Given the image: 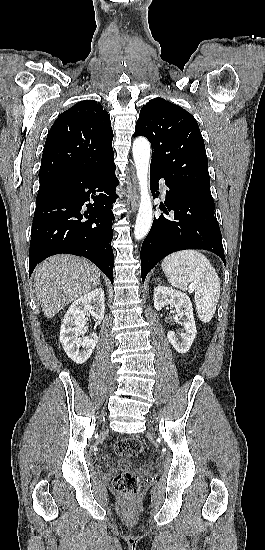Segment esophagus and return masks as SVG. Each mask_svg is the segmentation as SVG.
Instances as JSON below:
<instances>
[{"label":"esophagus","instance_id":"obj_1","mask_svg":"<svg viewBox=\"0 0 265 550\" xmlns=\"http://www.w3.org/2000/svg\"><path fill=\"white\" fill-rule=\"evenodd\" d=\"M132 182H133V190H132V193L130 195V203H131L132 209L136 210L137 207H138L139 196H138V193H137L136 177H135L134 172L132 173Z\"/></svg>","mask_w":265,"mask_h":550}]
</instances>
